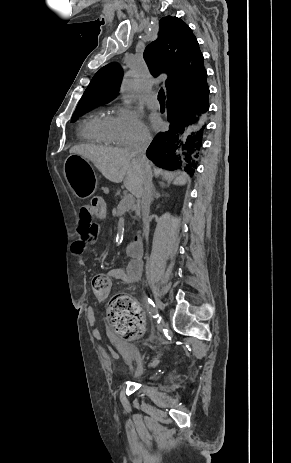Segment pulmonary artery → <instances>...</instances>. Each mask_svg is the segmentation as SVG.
I'll return each instance as SVG.
<instances>
[{
  "instance_id": "e3ab8cb5",
  "label": "pulmonary artery",
  "mask_w": 291,
  "mask_h": 463,
  "mask_svg": "<svg viewBox=\"0 0 291 463\" xmlns=\"http://www.w3.org/2000/svg\"><path fill=\"white\" fill-rule=\"evenodd\" d=\"M147 106L151 109H158L160 107L156 93H151L147 98Z\"/></svg>"
}]
</instances>
